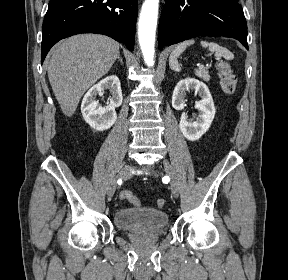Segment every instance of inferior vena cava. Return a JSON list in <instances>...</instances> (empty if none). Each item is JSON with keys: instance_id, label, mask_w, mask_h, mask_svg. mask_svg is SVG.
<instances>
[{"instance_id": "602c4592", "label": "inferior vena cava", "mask_w": 288, "mask_h": 280, "mask_svg": "<svg viewBox=\"0 0 288 280\" xmlns=\"http://www.w3.org/2000/svg\"><path fill=\"white\" fill-rule=\"evenodd\" d=\"M163 158H164V159H167V158H168V155H167V154H164V155H163Z\"/></svg>"}]
</instances>
